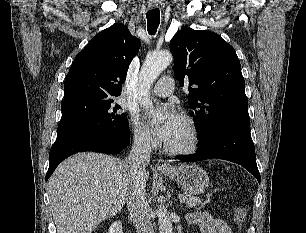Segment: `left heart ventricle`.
<instances>
[{"label":"left heart ventricle","instance_id":"left-heart-ventricle-1","mask_svg":"<svg viewBox=\"0 0 306 233\" xmlns=\"http://www.w3.org/2000/svg\"><path fill=\"white\" fill-rule=\"evenodd\" d=\"M190 141H191V133L189 127L186 124V122L182 120L179 127L173 134V136L166 143L170 147L180 148L187 146L190 143Z\"/></svg>","mask_w":306,"mask_h":233}]
</instances>
